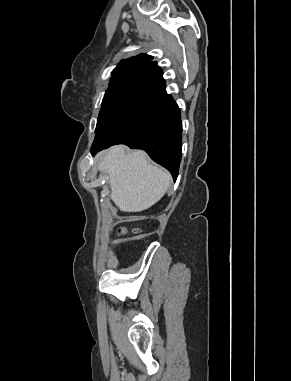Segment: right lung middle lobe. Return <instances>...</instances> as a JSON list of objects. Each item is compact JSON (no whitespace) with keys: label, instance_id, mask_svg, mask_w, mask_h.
<instances>
[{"label":"right lung middle lobe","instance_id":"dd1d6c3e","mask_svg":"<svg viewBox=\"0 0 291 381\" xmlns=\"http://www.w3.org/2000/svg\"><path fill=\"white\" fill-rule=\"evenodd\" d=\"M142 78L128 79L108 88L100 110L95 131L94 143L113 142L120 136V123L123 120Z\"/></svg>","mask_w":291,"mask_h":381}]
</instances>
